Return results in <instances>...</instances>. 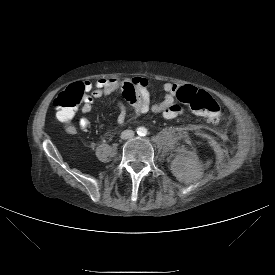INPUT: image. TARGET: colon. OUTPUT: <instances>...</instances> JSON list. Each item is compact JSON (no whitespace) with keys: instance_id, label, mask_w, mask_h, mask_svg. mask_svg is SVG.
<instances>
[{"instance_id":"colon-1","label":"colon","mask_w":275,"mask_h":275,"mask_svg":"<svg viewBox=\"0 0 275 275\" xmlns=\"http://www.w3.org/2000/svg\"><path fill=\"white\" fill-rule=\"evenodd\" d=\"M177 99L195 113L203 115L211 122H218L222 117V108L205 90L192 86H184L177 92ZM82 103V89L72 86L58 94L54 100L57 115L63 120H70Z\"/></svg>"}]
</instances>
